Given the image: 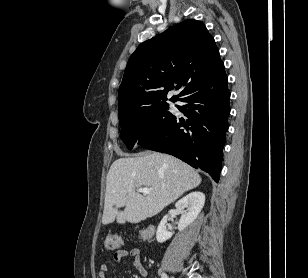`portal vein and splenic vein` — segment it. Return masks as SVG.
<instances>
[{"instance_id":"18ae733b","label":"portal vein and splenic vein","mask_w":308,"mask_h":278,"mask_svg":"<svg viewBox=\"0 0 308 278\" xmlns=\"http://www.w3.org/2000/svg\"><path fill=\"white\" fill-rule=\"evenodd\" d=\"M139 192L143 193L144 195H148L150 193V189L148 187H142L139 189Z\"/></svg>"}]
</instances>
